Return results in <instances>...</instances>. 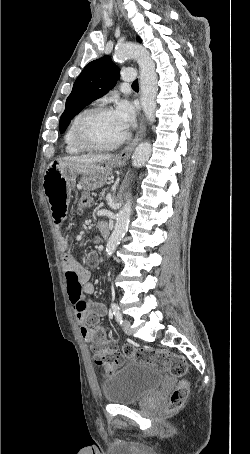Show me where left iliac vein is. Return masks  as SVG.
Wrapping results in <instances>:
<instances>
[{"mask_svg":"<svg viewBox=\"0 0 250 454\" xmlns=\"http://www.w3.org/2000/svg\"><path fill=\"white\" fill-rule=\"evenodd\" d=\"M122 328H123V331L127 335H131L132 334L131 322L129 320H127V319L123 320Z\"/></svg>","mask_w":250,"mask_h":454,"instance_id":"left-iliac-vein-1","label":"left iliac vein"}]
</instances>
